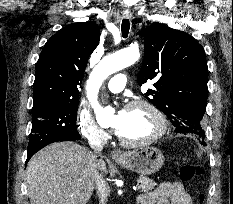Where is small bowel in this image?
Masks as SVG:
<instances>
[{
    "instance_id": "c3829d8e",
    "label": "small bowel",
    "mask_w": 233,
    "mask_h": 204,
    "mask_svg": "<svg viewBox=\"0 0 233 204\" xmlns=\"http://www.w3.org/2000/svg\"><path fill=\"white\" fill-rule=\"evenodd\" d=\"M138 204H193V201L180 182L167 181L154 191L140 195Z\"/></svg>"
}]
</instances>
